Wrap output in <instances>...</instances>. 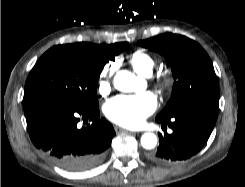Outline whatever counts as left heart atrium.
I'll return each mask as SVG.
<instances>
[{
  "label": "left heart atrium",
  "instance_id": "left-heart-atrium-1",
  "mask_svg": "<svg viewBox=\"0 0 245 187\" xmlns=\"http://www.w3.org/2000/svg\"><path fill=\"white\" fill-rule=\"evenodd\" d=\"M157 107V99L151 92L133 96L119 95L104 105V114L112 122L124 127H138Z\"/></svg>",
  "mask_w": 245,
  "mask_h": 187
}]
</instances>
